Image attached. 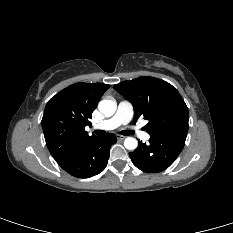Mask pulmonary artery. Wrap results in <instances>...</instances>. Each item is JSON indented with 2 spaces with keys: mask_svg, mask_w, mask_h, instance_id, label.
<instances>
[{
  "mask_svg": "<svg viewBox=\"0 0 233 233\" xmlns=\"http://www.w3.org/2000/svg\"><path fill=\"white\" fill-rule=\"evenodd\" d=\"M133 106L129 101L123 100L119 103L116 113L109 119H106L96 125L94 128L103 130H113L120 125L128 124L133 117ZM134 132L144 141L150 138L149 134L134 128Z\"/></svg>",
  "mask_w": 233,
  "mask_h": 233,
  "instance_id": "1",
  "label": "pulmonary artery"
}]
</instances>
